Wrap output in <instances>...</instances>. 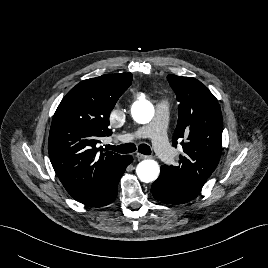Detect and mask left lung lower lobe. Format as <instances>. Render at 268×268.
<instances>
[{
	"mask_svg": "<svg viewBox=\"0 0 268 268\" xmlns=\"http://www.w3.org/2000/svg\"><path fill=\"white\" fill-rule=\"evenodd\" d=\"M151 192L156 200L168 204L186 203L198 196L197 193L173 184L162 172L152 184Z\"/></svg>",
	"mask_w": 268,
	"mask_h": 268,
	"instance_id": "1",
	"label": "left lung lower lobe"
}]
</instances>
